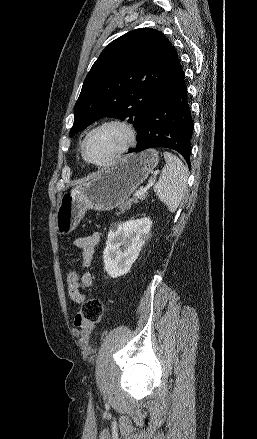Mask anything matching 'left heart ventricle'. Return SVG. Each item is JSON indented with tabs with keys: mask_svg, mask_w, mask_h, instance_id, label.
I'll return each instance as SVG.
<instances>
[{
	"mask_svg": "<svg viewBox=\"0 0 257 439\" xmlns=\"http://www.w3.org/2000/svg\"><path fill=\"white\" fill-rule=\"evenodd\" d=\"M125 145V135L117 127H105L93 134L87 147L88 157L95 162H104Z\"/></svg>",
	"mask_w": 257,
	"mask_h": 439,
	"instance_id": "left-heart-ventricle-1",
	"label": "left heart ventricle"
}]
</instances>
